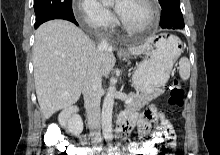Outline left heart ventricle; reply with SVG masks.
<instances>
[{
	"label": "left heart ventricle",
	"mask_w": 220,
	"mask_h": 155,
	"mask_svg": "<svg viewBox=\"0 0 220 155\" xmlns=\"http://www.w3.org/2000/svg\"><path fill=\"white\" fill-rule=\"evenodd\" d=\"M123 4L120 17L128 25L138 27L146 23L149 18V9L143 0H119L116 7Z\"/></svg>",
	"instance_id": "left-heart-ventricle-1"
}]
</instances>
